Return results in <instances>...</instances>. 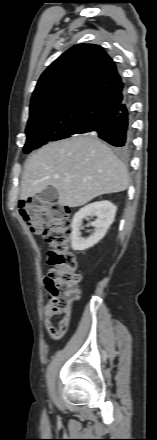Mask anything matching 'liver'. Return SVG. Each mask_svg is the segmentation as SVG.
<instances>
[{"mask_svg": "<svg viewBox=\"0 0 157 440\" xmlns=\"http://www.w3.org/2000/svg\"><path fill=\"white\" fill-rule=\"evenodd\" d=\"M128 185L127 168L111 149L95 136H81L48 143L27 158L21 198L53 186L60 205L78 207Z\"/></svg>", "mask_w": 157, "mask_h": 440, "instance_id": "1", "label": "liver"}]
</instances>
